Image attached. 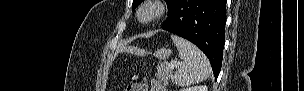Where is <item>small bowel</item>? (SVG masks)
Masks as SVG:
<instances>
[{"mask_svg":"<svg viewBox=\"0 0 304 91\" xmlns=\"http://www.w3.org/2000/svg\"><path fill=\"white\" fill-rule=\"evenodd\" d=\"M154 90H156V91H164L165 89L158 82H155L154 83Z\"/></svg>","mask_w":304,"mask_h":91,"instance_id":"c3829d8e","label":"small bowel"}]
</instances>
